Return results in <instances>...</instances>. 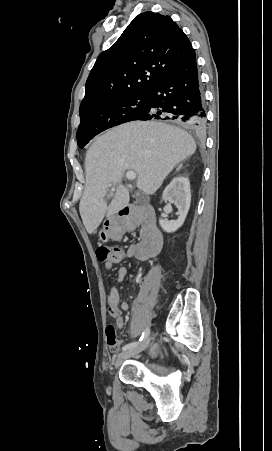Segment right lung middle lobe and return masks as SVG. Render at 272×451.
I'll use <instances>...</instances> for the list:
<instances>
[{
  "mask_svg": "<svg viewBox=\"0 0 272 451\" xmlns=\"http://www.w3.org/2000/svg\"><path fill=\"white\" fill-rule=\"evenodd\" d=\"M149 108V95L140 94L106 101L80 113L77 143L84 147L102 131L136 120Z\"/></svg>",
  "mask_w": 272,
  "mask_h": 451,
  "instance_id": "right-lung-middle-lobe-1",
  "label": "right lung middle lobe"
}]
</instances>
